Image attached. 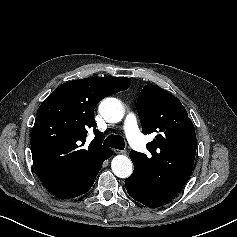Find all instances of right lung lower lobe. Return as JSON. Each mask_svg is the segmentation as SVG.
Masks as SVG:
<instances>
[{"label":"right lung lower lobe","instance_id":"98d812e1","mask_svg":"<svg viewBox=\"0 0 237 237\" xmlns=\"http://www.w3.org/2000/svg\"><path fill=\"white\" fill-rule=\"evenodd\" d=\"M102 163H100L95 169H94V172H92V177H91V182H90V185H88V188L86 190V192L91 188V186L93 185L94 181H95V178L98 174V172L100 171L101 167H102ZM84 192V193H86Z\"/></svg>","mask_w":237,"mask_h":237}]
</instances>
